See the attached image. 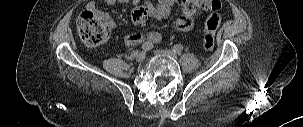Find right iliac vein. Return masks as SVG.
<instances>
[{
    "mask_svg": "<svg viewBox=\"0 0 303 127\" xmlns=\"http://www.w3.org/2000/svg\"><path fill=\"white\" fill-rule=\"evenodd\" d=\"M135 58L137 62H143L146 58V54L144 52H140L136 55Z\"/></svg>",
    "mask_w": 303,
    "mask_h": 127,
    "instance_id": "1",
    "label": "right iliac vein"
}]
</instances>
